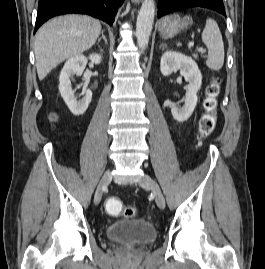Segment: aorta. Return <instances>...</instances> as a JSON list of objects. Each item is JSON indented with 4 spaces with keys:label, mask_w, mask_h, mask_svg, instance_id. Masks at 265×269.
Returning <instances> with one entry per match:
<instances>
[{
    "label": "aorta",
    "mask_w": 265,
    "mask_h": 269,
    "mask_svg": "<svg viewBox=\"0 0 265 269\" xmlns=\"http://www.w3.org/2000/svg\"><path fill=\"white\" fill-rule=\"evenodd\" d=\"M155 16L154 0H144L138 13L136 22V38L139 48L143 51L146 49Z\"/></svg>",
    "instance_id": "1"
}]
</instances>
